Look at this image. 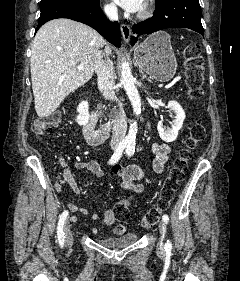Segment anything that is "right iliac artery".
I'll return each instance as SVG.
<instances>
[{
    "mask_svg": "<svg viewBox=\"0 0 240 281\" xmlns=\"http://www.w3.org/2000/svg\"><path fill=\"white\" fill-rule=\"evenodd\" d=\"M126 146H127L126 142H122L119 144L118 148L116 149V151L110 158L109 164H115L119 161ZM67 216H68V211L65 210L61 214L59 221H58V226H57V235H58V240H59V244L61 247L64 245V242H65V235H64L63 227H64V223H65Z\"/></svg>",
    "mask_w": 240,
    "mask_h": 281,
    "instance_id": "right-iliac-artery-1",
    "label": "right iliac artery"
}]
</instances>
